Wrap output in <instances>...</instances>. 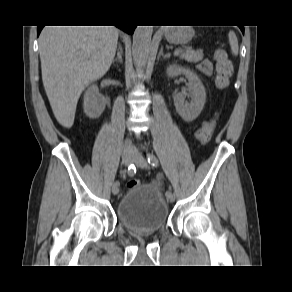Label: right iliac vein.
Returning a JSON list of instances; mask_svg holds the SVG:
<instances>
[{
	"mask_svg": "<svg viewBox=\"0 0 292 292\" xmlns=\"http://www.w3.org/2000/svg\"><path fill=\"white\" fill-rule=\"evenodd\" d=\"M133 156L131 154L128 153H124L122 154V163L126 166L130 165L133 162ZM119 192V187H117V185H113L112 187V193L114 195L118 194Z\"/></svg>",
	"mask_w": 292,
	"mask_h": 292,
	"instance_id": "obj_1",
	"label": "right iliac vein"
}]
</instances>
